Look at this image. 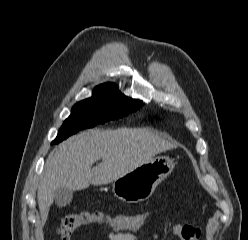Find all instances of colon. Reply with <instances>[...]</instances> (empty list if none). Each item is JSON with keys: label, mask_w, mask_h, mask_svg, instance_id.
I'll list each match as a JSON object with an SVG mask.
<instances>
[{"label": "colon", "mask_w": 248, "mask_h": 240, "mask_svg": "<svg viewBox=\"0 0 248 240\" xmlns=\"http://www.w3.org/2000/svg\"><path fill=\"white\" fill-rule=\"evenodd\" d=\"M157 211H145L137 214H122L111 218L101 212H69L62 216L58 225L60 240H70L72 234L82 226L106 222L116 232L135 233L146 226Z\"/></svg>", "instance_id": "1"}]
</instances>
